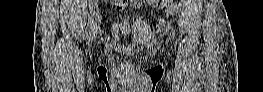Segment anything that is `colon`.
I'll return each mask as SVG.
<instances>
[{
    "mask_svg": "<svg viewBox=\"0 0 263 92\" xmlns=\"http://www.w3.org/2000/svg\"><path fill=\"white\" fill-rule=\"evenodd\" d=\"M149 2L153 3L155 5V7L160 8V7H162V5L169 3L171 1H168V0H151Z\"/></svg>",
    "mask_w": 263,
    "mask_h": 92,
    "instance_id": "1",
    "label": "colon"
}]
</instances>
